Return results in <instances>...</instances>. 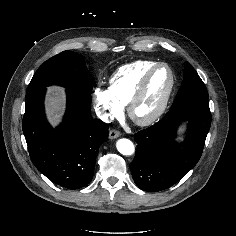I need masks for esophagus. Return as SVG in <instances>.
<instances>
[{"label":"esophagus","instance_id":"34e87169","mask_svg":"<svg viewBox=\"0 0 236 236\" xmlns=\"http://www.w3.org/2000/svg\"><path fill=\"white\" fill-rule=\"evenodd\" d=\"M121 136V133L118 130L112 129L109 131V138L115 139Z\"/></svg>","mask_w":236,"mask_h":236}]
</instances>
